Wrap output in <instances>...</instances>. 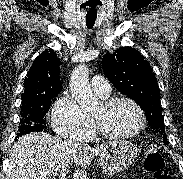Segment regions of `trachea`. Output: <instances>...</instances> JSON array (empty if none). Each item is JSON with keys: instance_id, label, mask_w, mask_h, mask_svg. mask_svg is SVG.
Wrapping results in <instances>:
<instances>
[{"instance_id": "trachea-1", "label": "trachea", "mask_w": 183, "mask_h": 179, "mask_svg": "<svg viewBox=\"0 0 183 179\" xmlns=\"http://www.w3.org/2000/svg\"><path fill=\"white\" fill-rule=\"evenodd\" d=\"M96 18H97V13L95 11H89L87 13L86 24L89 29H91L94 26Z\"/></svg>"}]
</instances>
